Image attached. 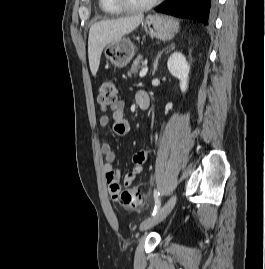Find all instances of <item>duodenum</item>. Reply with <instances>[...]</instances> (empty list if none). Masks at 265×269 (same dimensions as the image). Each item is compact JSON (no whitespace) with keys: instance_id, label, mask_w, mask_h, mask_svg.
Masks as SVG:
<instances>
[{"instance_id":"duodenum-1","label":"duodenum","mask_w":265,"mask_h":269,"mask_svg":"<svg viewBox=\"0 0 265 269\" xmlns=\"http://www.w3.org/2000/svg\"><path fill=\"white\" fill-rule=\"evenodd\" d=\"M140 107L145 109L148 107L149 103L147 98H141V100L139 101Z\"/></svg>"}]
</instances>
